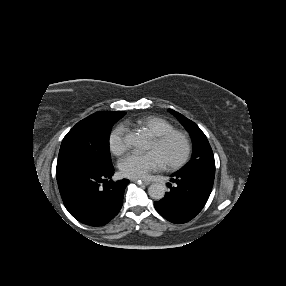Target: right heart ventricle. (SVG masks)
Masks as SVG:
<instances>
[{
	"instance_id": "e07e8e85",
	"label": "right heart ventricle",
	"mask_w": 286,
	"mask_h": 286,
	"mask_svg": "<svg viewBox=\"0 0 286 286\" xmlns=\"http://www.w3.org/2000/svg\"><path fill=\"white\" fill-rule=\"evenodd\" d=\"M136 126L147 129L154 137L176 130L174 124L161 116H149L136 122Z\"/></svg>"
}]
</instances>
